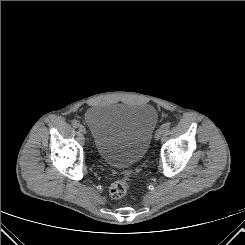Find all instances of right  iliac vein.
Here are the masks:
<instances>
[{
	"label": "right iliac vein",
	"mask_w": 245,
	"mask_h": 245,
	"mask_svg": "<svg viewBox=\"0 0 245 245\" xmlns=\"http://www.w3.org/2000/svg\"><path fill=\"white\" fill-rule=\"evenodd\" d=\"M79 130L80 132H82L83 134H86V128L82 125L79 126Z\"/></svg>",
	"instance_id": "obj_1"
}]
</instances>
